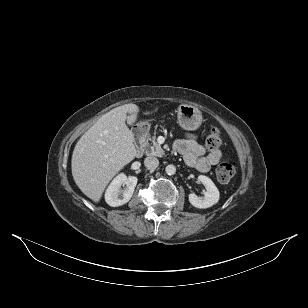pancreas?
<instances>
[{
    "label": "pancreas",
    "mask_w": 308,
    "mask_h": 308,
    "mask_svg": "<svg viewBox=\"0 0 308 308\" xmlns=\"http://www.w3.org/2000/svg\"><path fill=\"white\" fill-rule=\"evenodd\" d=\"M145 147L147 155L162 157L164 155V151L160 144L156 141L155 134L151 136L150 134L145 136Z\"/></svg>",
    "instance_id": "obj_1"
}]
</instances>
